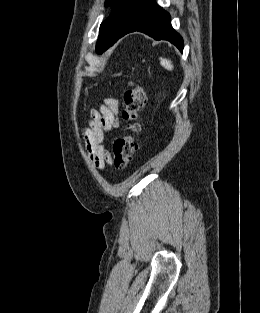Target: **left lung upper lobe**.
Instances as JSON below:
<instances>
[{
    "label": "left lung upper lobe",
    "mask_w": 260,
    "mask_h": 313,
    "mask_svg": "<svg viewBox=\"0 0 260 313\" xmlns=\"http://www.w3.org/2000/svg\"><path fill=\"white\" fill-rule=\"evenodd\" d=\"M155 0H107L105 6H112L110 16L102 22L96 51L102 53L112 46L124 31L146 10Z\"/></svg>",
    "instance_id": "1"
}]
</instances>
